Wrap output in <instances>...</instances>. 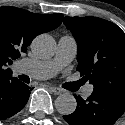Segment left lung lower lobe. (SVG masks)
<instances>
[{
    "instance_id": "obj_1",
    "label": "left lung lower lobe",
    "mask_w": 125,
    "mask_h": 125,
    "mask_svg": "<svg viewBox=\"0 0 125 125\" xmlns=\"http://www.w3.org/2000/svg\"><path fill=\"white\" fill-rule=\"evenodd\" d=\"M75 98V112L63 116L70 125H113L125 112V94L117 91H93L87 100Z\"/></svg>"
}]
</instances>
